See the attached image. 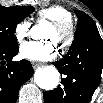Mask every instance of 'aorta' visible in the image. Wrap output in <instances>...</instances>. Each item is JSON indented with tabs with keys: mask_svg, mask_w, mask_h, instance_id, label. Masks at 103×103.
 I'll return each mask as SVG.
<instances>
[{
	"mask_svg": "<svg viewBox=\"0 0 103 103\" xmlns=\"http://www.w3.org/2000/svg\"><path fill=\"white\" fill-rule=\"evenodd\" d=\"M34 79L36 84L44 90H53L59 82V72L53 66L38 68L35 71Z\"/></svg>",
	"mask_w": 103,
	"mask_h": 103,
	"instance_id": "762f6f07",
	"label": "aorta"
}]
</instances>
